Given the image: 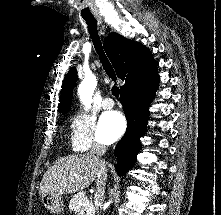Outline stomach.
Listing matches in <instances>:
<instances>
[{
	"label": "stomach",
	"mask_w": 221,
	"mask_h": 215,
	"mask_svg": "<svg viewBox=\"0 0 221 215\" xmlns=\"http://www.w3.org/2000/svg\"><path fill=\"white\" fill-rule=\"evenodd\" d=\"M44 207L51 213L60 214L64 210L62 196L58 194L48 193L42 197Z\"/></svg>",
	"instance_id": "0dacf381"
}]
</instances>
